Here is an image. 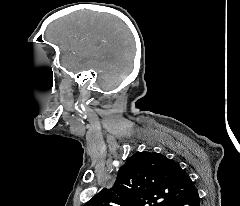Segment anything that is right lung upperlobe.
I'll use <instances>...</instances> for the list:
<instances>
[{
  "mask_svg": "<svg viewBox=\"0 0 240 206\" xmlns=\"http://www.w3.org/2000/svg\"><path fill=\"white\" fill-rule=\"evenodd\" d=\"M194 189L178 163L160 153L137 152L120 168L113 187L84 206H168Z\"/></svg>",
  "mask_w": 240,
  "mask_h": 206,
  "instance_id": "right-lung-upper-lobe-1",
  "label": "right lung upper lobe"
}]
</instances>
